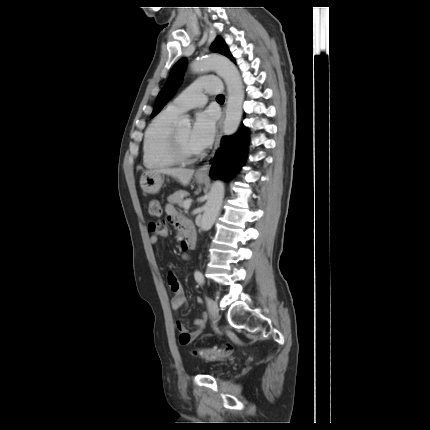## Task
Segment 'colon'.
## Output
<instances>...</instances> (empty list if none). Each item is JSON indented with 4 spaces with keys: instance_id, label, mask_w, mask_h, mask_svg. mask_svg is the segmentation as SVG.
Instances as JSON below:
<instances>
[{
    "instance_id": "obj_1",
    "label": "colon",
    "mask_w": 430,
    "mask_h": 430,
    "mask_svg": "<svg viewBox=\"0 0 430 430\" xmlns=\"http://www.w3.org/2000/svg\"><path fill=\"white\" fill-rule=\"evenodd\" d=\"M161 206L158 201L152 200L149 202V213L153 217H159L161 215ZM234 353V348L232 345L228 344L223 348H198L194 351L196 356L200 358L210 360V361H218L224 358L231 356ZM183 389L186 388L185 383L182 385Z\"/></svg>"
}]
</instances>
